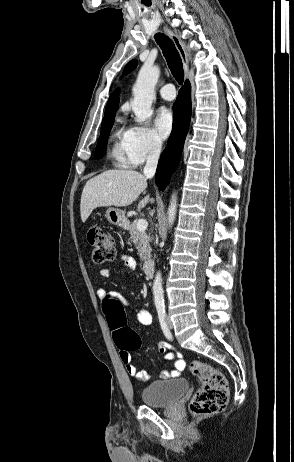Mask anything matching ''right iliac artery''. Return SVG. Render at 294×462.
I'll return each mask as SVG.
<instances>
[{
    "label": "right iliac artery",
    "mask_w": 294,
    "mask_h": 462,
    "mask_svg": "<svg viewBox=\"0 0 294 462\" xmlns=\"http://www.w3.org/2000/svg\"><path fill=\"white\" fill-rule=\"evenodd\" d=\"M158 312V317H159V321H160V325H161V328L163 330V333L165 334V336L168 338V339H172V334L171 332L169 331L168 327H167V324H166V313H165V309L164 308H159L157 310Z\"/></svg>",
    "instance_id": "obj_1"
}]
</instances>
